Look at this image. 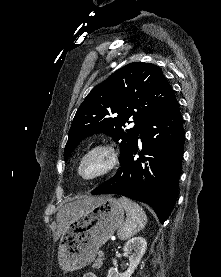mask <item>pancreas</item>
<instances>
[{
	"label": "pancreas",
	"instance_id": "obj_1",
	"mask_svg": "<svg viewBox=\"0 0 221 277\" xmlns=\"http://www.w3.org/2000/svg\"><path fill=\"white\" fill-rule=\"evenodd\" d=\"M103 260H104V256L101 255L99 252L97 259L94 261L92 265L93 269H100L101 266L103 265Z\"/></svg>",
	"mask_w": 221,
	"mask_h": 277
}]
</instances>
